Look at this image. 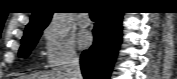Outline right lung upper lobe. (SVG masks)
<instances>
[{
  "mask_svg": "<svg viewBox=\"0 0 177 79\" xmlns=\"http://www.w3.org/2000/svg\"><path fill=\"white\" fill-rule=\"evenodd\" d=\"M53 12L48 11L44 8H38L33 12L30 23L25 29L22 40L28 38L33 33L43 30L51 20Z\"/></svg>",
  "mask_w": 177,
  "mask_h": 79,
  "instance_id": "obj_1",
  "label": "right lung upper lobe"
}]
</instances>
